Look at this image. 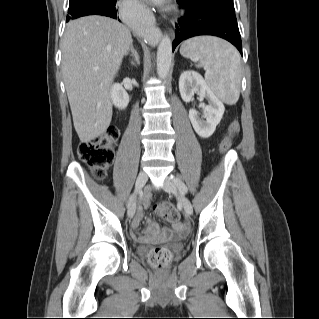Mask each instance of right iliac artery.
I'll use <instances>...</instances> for the list:
<instances>
[{
	"mask_svg": "<svg viewBox=\"0 0 319 319\" xmlns=\"http://www.w3.org/2000/svg\"><path fill=\"white\" fill-rule=\"evenodd\" d=\"M132 199H133V195L129 198V201H128L127 206H129V204H130V202L132 201Z\"/></svg>",
	"mask_w": 319,
	"mask_h": 319,
	"instance_id": "82829eb1",
	"label": "right iliac artery"
}]
</instances>
